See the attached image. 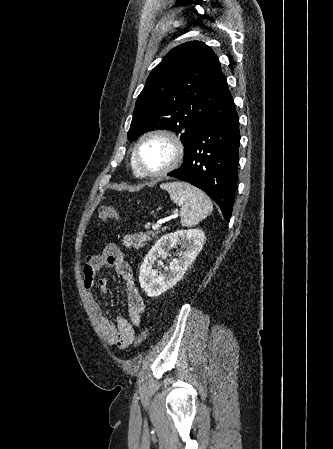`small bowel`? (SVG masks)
I'll return each mask as SVG.
<instances>
[{"mask_svg": "<svg viewBox=\"0 0 333 449\" xmlns=\"http://www.w3.org/2000/svg\"><path fill=\"white\" fill-rule=\"evenodd\" d=\"M104 266L112 268L125 283L128 319L119 315L112 322L93 294L96 273ZM83 284L90 309L105 339L119 348L131 345L135 341V328L141 323L145 304L136 286L131 266L124 260L121 251L115 244L108 243L101 253L86 258L83 268ZM109 285L108 278L98 280L99 289L104 293L109 290Z\"/></svg>", "mask_w": 333, "mask_h": 449, "instance_id": "small-bowel-1", "label": "small bowel"}]
</instances>
